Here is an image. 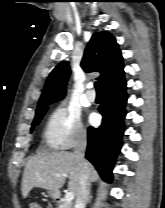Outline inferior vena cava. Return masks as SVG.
I'll use <instances>...</instances> for the list:
<instances>
[{
  "label": "inferior vena cava",
  "mask_w": 165,
  "mask_h": 208,
  "mask_svg": "<svg viewBox=\"0 0 165 208\" xmlns=\"http://www.w3.org/2000/svg\"><path fill=\"white\" fill-rule=\"evenodd\" d=\"M86 146V135L82 134L78 137L77 143L75 144L72 153L78 166L80 183V188L75 201V208H85L89 200L90 180L88 175L87 164L84 159Z\"/></svg>",
  "instance_id": "inferior-vena-cava-1"
}]
</instances>
